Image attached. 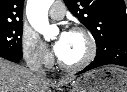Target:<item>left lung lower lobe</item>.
<instances>
[{"mask_svg":"<svg viewBox=\"0 0 127 92\" xmlns=\"http://www.w3.org/2000/svg\"><path fill=\"white\" fill-rule=\"evenodd\" d=\"M107 64L127 67V41H115L108 44L103 50L96 53V57L92 63L77 74H82Z\"/></svg>","mask_w":127,"mask_h":92,"instance_id":"1","label":"left lung lower lobe"}]
</instances>
